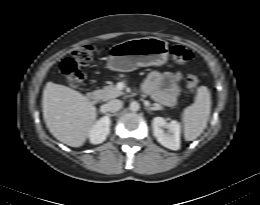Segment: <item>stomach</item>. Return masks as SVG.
Returning <instances> with one entry per match:
<instances>
[{"label": "stomach", "instance_id": "0dacf381", "mask_svg": "<svg viewBox=\"0 0 260 205\" xmlns=\"http://www.w3.org/2000/svg\"><path fill=\"white\" fill-rule=\"evenodd\" d=\"M168 43L158 37H144L115 44L108 67L113 71H132L137 67L162 66L168 59Z\"/></svg>", "mask_w": 260, "mask_h": 205}]
</instances>
